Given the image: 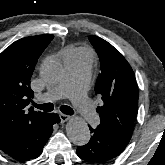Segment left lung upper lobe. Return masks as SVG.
I'll use <instances>...</instances> for the list:
<instances>
[{"instance_id": "5c2ea615", "label": "left lung upper lobe", "mask_w": 165, "mask_h": 165, "mask_svg": "<svg viewBox=\"0 0 165 165\" xmlns=\"http://www.w3.org/2000/svg\"><path fill=\"white\" fill-rule=\"evenodd\" d=\"M101 65L95 93L103 100L97 108L101 126L131 138L138 112V89L134 72L123 55L110 43L90 35Z\"/></svg>"}]
</instances>
